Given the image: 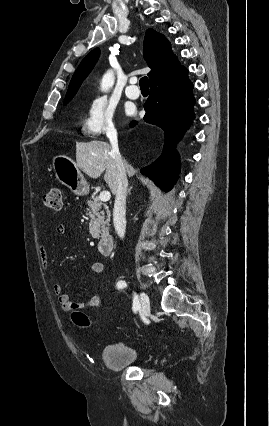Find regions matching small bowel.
Here are the masks:
<instances>
[{
	"label": "small bowel",
	"mask_w": 269,
	"mask_h": 426,
	"mask_svg": "<svg viewBox=\"0 0 269 426\" xmlns=\"http://www.w3.org/2000/svg\"><path fill=\"white\" fill-rule=\"evenodd\" d=\"M56 232L58 235L63 236L67 233V226L64 224L58 225L56 228ZM39 257L43 266V269L47 272L50 269L49 263V255L45 245H41L39 247ZM90 271L92 274L97 276L105 275V267L101 262H94L90 266ZM53 292L62 306V308L66 311H72L76 309H84V308H92L101 306L104 304V300L99 296H94L90 298L87 302H76L72 301L67 293H65L59 283L53 284Z\"/></svg>",
	"instance_id": "1"
}]
</instances>
